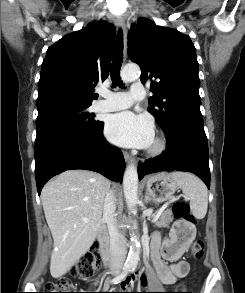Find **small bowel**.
<instances>
[{
	"label": "small bowel",
	"instance_id": "1",
	"mask_svg": "<svg viewBox=\"0 0 245 293\" xmlns=\"http://www.w3.org/2000/svg\"><path fill=\"white\" fill-rule=\"evenodd\" d=\"M151 260L153 266L160 276L161 282L164 286H171L177 282L178 279L185 277L189 272V264L184 260H179L182 252V247H178L173 238L166 237L164 239L157 233L152 235L151 242ZM163 260L170 261L167 265ZM141 284L143 287L148 286L147 276L144 272L139 273ZM134 275H130L121 282L122 289H127L132 283ZM105 289L109 288V282L104 285Z\"/></svg>",
	"mask_w": 245,
	"mask_h": 293
}]
</instances>
